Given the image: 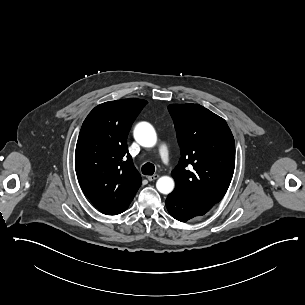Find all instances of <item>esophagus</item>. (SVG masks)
Wrapping results in <instances>:
<instances>
[{"mask_svg":"<svg viewBox=\"0 0 305 305\" xmlns=\"http://www.w3.org/2000/svg\"><path fill=\"white\" fill-rule=\"evenodd\" d=\"M158 177H159V175H158V174H155V175L147 176V179H148L149 181H154V180L157 179Z\"/></svg>","mask_w":305,"mask_h":305,"instance_id":"34e87169","label":"esophagus"}]
</instances>
